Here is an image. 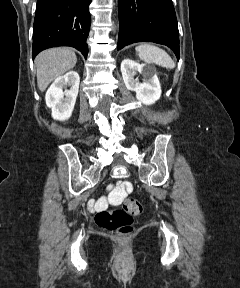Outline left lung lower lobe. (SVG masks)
<instances>
[{
    "label": "left lung lower lobe",
    "instance_id": "0a47b994",
    "mask_svg": "<svg viewBox=\"0 0 240 288\" xmlns=\"http://www.w3.org/2000/svg\"><path fill=\"white\" fill-rule=\"evenodd\" d=\"M117 50L135 42L168 46L179 60V32L172 0H118Z\"/></svg>",
    "mask_w": 240,
    "mask_h": 288
}]
</instances>
